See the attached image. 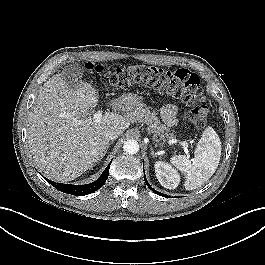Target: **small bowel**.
Returning <instances> with one entry per match:
<instances>
[{
	"mask_svg": "<svg viewBox=\"0 0 265 265\" xmlns=\"http://www.w3.org/2000/svg\"><path fill=\"white\" fill-rule=\"evenodd\" d=\"M162 118L165 124L173 126L176 124V107L172 104L166 105L162 109Z\"/></svg>",
	"mask_w": 265,
	"mask_h": 265,
	"instance_id": "small-bowel-1",
	"label": "small bowel"
}]
</instances>
